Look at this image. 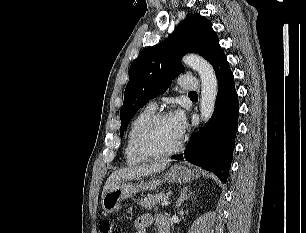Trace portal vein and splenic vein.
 Returning <instances> with one entry per match:
<instances>
[{
  "instance_id": "obj_1",
  "label": "portal vein and splenic vein",
  "mask_w": 306,
  "mask_h": 233,
  "mask_svg": "<svg viewBox=\"0 0 306 233\" xmlns=\"http://www.w3.org/2000/svg\"><path fill=\"white\" fill-rule=\"evenodd\" d=\"M169 204H170V201L167 200V199L163 200L162 203H161V205H162L163 207H164V206H167V205H169Z\"/></svg>"
}]
</instances>
